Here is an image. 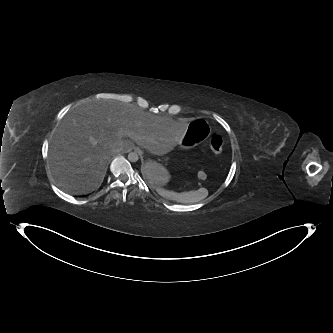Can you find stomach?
Returning <instances> with one entry per match:
<instances>
[{
  "label": "stomach",
  "mask_w": 333,
  "mask_h": 333,
  "mask_svg": "<svg viewBox=\"0 0 333 333\" xmlns=\"http://www.w3.org/2000/svg\"><path fill=\"white\" fill-rule=\"evenodd\" d=\"M211 126L204 119H197L189 125V131L178 143L182 148H192L209 138ZM145 182L150 187L168 188L173 183V174L159 161H149L143 169Z\"/></svg>",
  "instance_id": "obj_1"
}]
</instances>
